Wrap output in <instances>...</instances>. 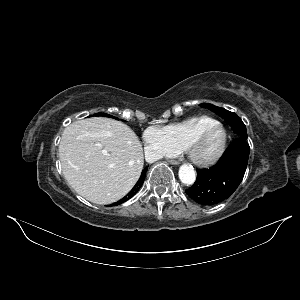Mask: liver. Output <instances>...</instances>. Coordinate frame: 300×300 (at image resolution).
Returning a JSON list of instances; mask_svg holds the SVG:
<instances>
[{
  "instance_id": "1",
  "label": "liver",
  "mask_w": 300,
  "mask_h": 300,
  "mask_svg": "<svg viewBox=\"0 0 300 300\" xmlns=\"http://www.w3.org/2000/svg\"><path fill=\"white\" fill-rule=\"evenodd\" d=\"M59 158L69 185L96 204L123 198L138 181L144 165L137 135L126 124L105 117L79 120L66 127Z\"/></svg>"
}]
</instances>
